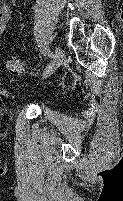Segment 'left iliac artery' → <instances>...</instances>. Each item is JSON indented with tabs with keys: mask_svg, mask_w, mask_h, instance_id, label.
<instances>
[{
	"mask_svg": "<svg viewBox=\"0 0 123 201\" xmlns=\"http://www.w3.org/2000/svg\"><path fill=\"white\" fill-rule=\"evenodd\" d=\"M42 51L45 55H47L48 57H52L53 53L48 49L47 46L42 47Z\"/></svg>",
	"mask_w": 123,
	"mask_h": 201,
	"instance_id": "left-iliac-artery-1",
	"label": "left iliac artery"
}]
</instances>
